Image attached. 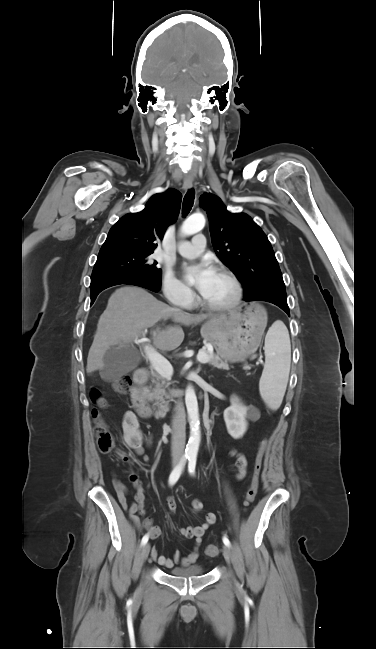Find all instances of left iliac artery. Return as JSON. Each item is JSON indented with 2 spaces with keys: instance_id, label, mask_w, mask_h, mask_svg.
<instances>
[{
  "instance_id": "left-iliac-artery-1",
  "label": "left iliac artery",
  "mask_w": 376,
  "mask_h": 649,
  "mask_svg": "<svg viewBox=\"0 0 376 649\" xmlns=\"http://www.w3.org/2000/svg\"><path fill=\"white\" fill-rule=\"evenodd\" d=\"M188 460H189V463H188V471H189V473H190L191 475H194V474H195V467H196V456H195V455H191V456L188 458ZM223 542H224V544H225L226 546L230 547V545H231V544H230V541H229V539H228L226 536L223 537Z\"/></svg>"
}]
</instances>
